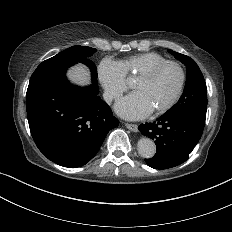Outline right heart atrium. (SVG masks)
Masks as SVG:
<instances>
[{"instance_id":"1","label":"right heart atrium","mask_w":232,"mask_h":232,"mask_svg":"<svg viewBox=\"0 0 232 232\" xmlns=\"http://www.w3.org/2000/svg\"><path fill=\"white\" fill-rule=\"evenodd\" d=\"M96 76L108 100L117 98L127 88L119 63L109 57L99 61Z\"/></svg>"}]
</instances>
